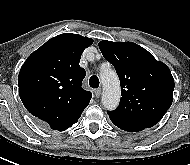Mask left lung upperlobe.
<instances>
[{"label":"left lung upper lobe","mask_w":190,"mask_h":165,"mask_svg":"<svg viewBox=\"0 0 190 165\" xmlns=\"http://www.w3.org/2000/svg\"><path fill=\"white\" fill-rule=\"evenodd\" d=\"M98 45L121 84L119 106L107 112L111 121L138 130L157 124L173 101L174 79L169 68L133 42L100 41Z\"/></svg>","instance_id":"1"}]
</instances>
